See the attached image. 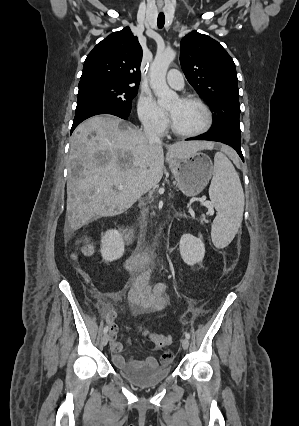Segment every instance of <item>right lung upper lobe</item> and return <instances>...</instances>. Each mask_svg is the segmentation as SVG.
<instances>
[{"mask_svg": "<svg viewBox=\"0 0 299 426\" xmlns=\"http://www.w3.org/2000/svg\"><path fill=\"white\" fill-rule=\"evenodd\" d=\"M142 48L130 28L110 34L87 56L79 85L106 82L138 87Z\"/></svg>", "mask_w": 299, "mask_h": 426, "instance_id": "1", "label": "right lung upper lobe"}]
</instances>
